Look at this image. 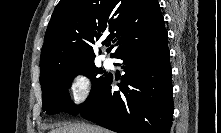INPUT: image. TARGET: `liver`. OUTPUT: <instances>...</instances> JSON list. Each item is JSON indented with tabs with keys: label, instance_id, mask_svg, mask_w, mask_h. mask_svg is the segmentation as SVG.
Masks as SVG:
<instances>
[{
	"label": "liver",
	"instance_id": "6515ba94",
	"mask_svg": "<svg viewBox=\"0 0 221 133\" xmlns=\"http://www.w3.org/2000/svg\"><path fill=\"white\" fill-rule=\"evenodd\" d=\"M49 133H110L108 130L85 123H69L52 129Z\"/></svg>",
	"mask_w": 221,
	"mask_h": 133
}]
</instances>
